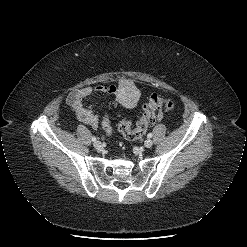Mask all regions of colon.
Instances as JSON below:
<instances>
[{
  "label": "colon",
  "mask_w": 247,
  "mask_h": 247,
  "mask_svg": "<svg viewBox=\"0 0 247 247\" xmlns=\"http://www.w3.org/2000/svg\"><path fill=\"white\" fill-rule=\"evenodd\" d=\"M173 106L174 103L170 98L153 94L149 101L143 106L142 116L136 123V126L132 127L130 121L122 119L118 125L119 131L127 140L140 139L147 129L157 121L158 113L162 110L169 111ZM102 128L107 135L112 133L111 121L108 116L103 119Z\"/></svg>",
  "instance_id": "colon-1"
}]
</instances>
